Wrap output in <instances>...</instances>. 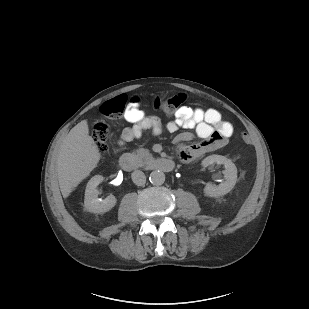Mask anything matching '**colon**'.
Returning a JSON list of instances; mask_svg holds the SVG:
<instances>
[{
  "label": "colon",
  "mask_w": 309,
  "mask_h": 309,
  "mask_svg": "<svg viewBox=\"0 0 309 309\" xmlns=\"http://www.w3.org/2000/svg\"><path fill=\"white\" fill-rule=\"evenodd\" d=\"M185 101V95L176 94L168 98H157L155 100V105L161 108L167 113H173L175 110ZM127 98L125 96H120L115 99L104 102L100 111L102 115L106 118H119L122 116ZM93 138L96 143L98 152L102 155L106 154L108 151V142L111 138V132L108 125L105 122H98L93 129ZM241 139L244 143H251V136L247 132L241 133Z\"/></svg>",
  "instance_id": "5ec220e1"
}]
</instances>
